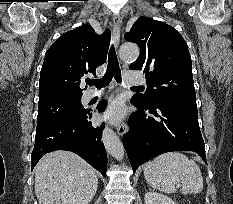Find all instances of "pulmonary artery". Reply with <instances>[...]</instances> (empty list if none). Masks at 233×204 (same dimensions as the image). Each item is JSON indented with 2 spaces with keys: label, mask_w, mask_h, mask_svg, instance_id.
Returning <instances> with one entry per match:
<instances>
[{
  "label": "pulmonary artery",
  "mask_w": 233,
  "mask_h": 204,
  "mask_svg": "<svg viewBox=\"0 0 233 204\" xmlns=\"http://www.w3.org/2000/svg\"><path fill=\"white\" fill-rule=\"evenodd\" d=\"M125 82L128 85H142L145 83L144 78L139 75V74H135V73H127L125 75ZM103 94V92H97L94 90H89L87 92L84 93L83 99L84 101H89L95 97H99Z\"/></svg>",
  "instance_id": "obj_1"
}]
</instances>
